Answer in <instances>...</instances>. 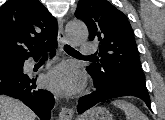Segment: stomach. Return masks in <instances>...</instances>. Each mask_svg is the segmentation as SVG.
Masks as SVG:
<instances>
[{"label":"stomach","instance_id":"1","mask_svg":"<svg viewBox=\"0 0 165 120\" xmlns=\"http://www.w3.org/2000/svg\"><path fill=\"white\" fill-rule=\"evenodd\" d=\"M81 120H113V118L106 108L94 107L88 110Z\"/></svg>","mask_w":165,"mask_h":120}]
</instances>
